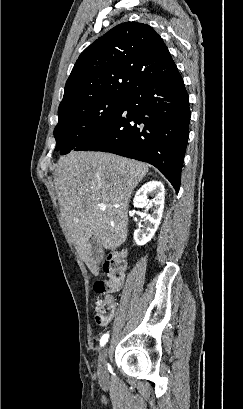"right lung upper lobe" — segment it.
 Wrapping results in <instances>:
<instances>
[{"mask_svg":"<svg viewBox=\"0 0 243 409\" xmlns=\"http://www.w3.org/2000/svg\"><path fill=\"white\" fill-rule=\"evenodd\" d=\"M176 70L168 48L152 27L121 23L81 53L59 109L98 97L127 96L138 86Z\"/></svg>","mask_w":243,"mask_h":409,"instance_id":"right-lung-upper-lobe-1","label":"right lung upper lobe"}]
</instances>
